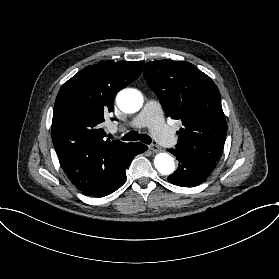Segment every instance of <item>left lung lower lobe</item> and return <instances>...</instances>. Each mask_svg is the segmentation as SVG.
I'll list each match as a JSON object with an SVG mask.
<instances>
[{
  "instance_id": "1",
  "label": "left lung lower lobe",
  "mask_w": 279,
  "mask_h": 279,
  "mask_svg": "<svg viewBox=\"0 0 279 279\" xmlns=\"http://www.w3.org/2000/svg\"><path fill=\"white\" fill-rule=\"evenodd\" d=\"M179 161L176 172L168 177V181L174 185L194 187L202 183L216 166L212 161L197 155L185 153L180 149H167Z\"/></svg>"
}]
</instances>
